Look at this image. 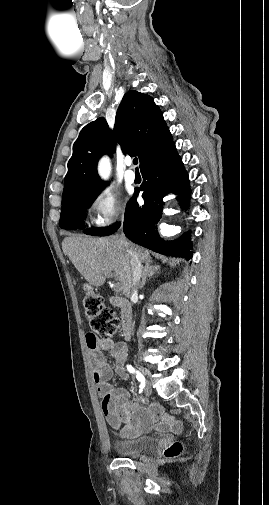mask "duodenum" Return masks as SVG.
I'll use <instances>...</instances> for the list:
<instances>
[{
	"mask_svg": "<svg viewBox=\"0 0 269 505\" xmlns=\"http://www.w3.org/2000/svg\"><path fill=\"white\" fill-rule=\"evenodd\" d=\"M112 305L120 309L121 312V335L124 340H129L131 337L133 313L131 304L120 297H110Z\"/></svg>",
	"mask_w": 269,
	"mask_h": 505,
	"instance_id": "duodenum-1",
	"label": "duodenum"
}]
</instances>
